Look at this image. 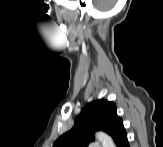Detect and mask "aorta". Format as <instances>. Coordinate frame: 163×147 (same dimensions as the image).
I'll list each match as a JSON object with an SVG mask.
<instances>
[{
  "mask_svg": "<svg viewBox=\"0 0 163 147\" xmlns=\"http://www.w3.org/2000/svg\"><path fill=\"white\" fill-rule=\"evenodd\" d=\"M96 138L101 142L102 147H115L113 139L104 132H97Z\"/></svg>",
  "mask_w": 163,
  "mask_h": 147,
  "instance_id": "1",
  "label": "aorta"
}]
</instances>
